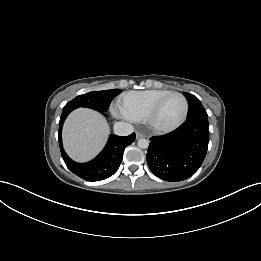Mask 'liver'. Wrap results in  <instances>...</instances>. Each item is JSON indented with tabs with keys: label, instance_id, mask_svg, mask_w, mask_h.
Segmentation results:
<instances>
[{
	"label": "liver",
	"instance_id": "liver-1",
	"mask_svg": "<svg viewBox=\"0 0 261 261\" xmlns=\"http://www.w3.org/2000/svg\"><path fill=\"white\" fill-rule=\"evenodd\" d=\"M108 133V123L101 114L91 109L79 108L64 123L63 144L71 158L86 162L101 151Z\"/></svg>",
	"mask_w": 261,
	"mask_h": 261
}]
</instances>
